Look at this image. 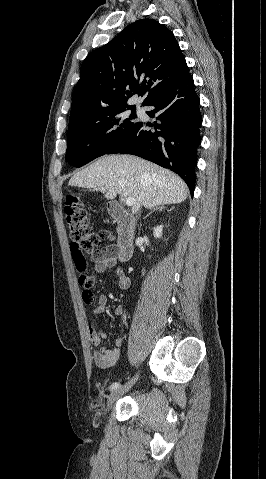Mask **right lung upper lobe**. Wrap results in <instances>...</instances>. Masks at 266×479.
<instances>
[{
	"instance_id": "1",
	"label": "right lung upper lobe",
	"mask_w": 266,
	"mask_h": 479,
	"mask_svg": "<svg viewBox=\"0 0 266 479\" xmlns=\"http://www.w3.org/2000/svg\"><path fill=\"white\" fill-rule=\"evenodd\" d=\"M189 74L173 35L154 19H140L83 61L69 121L128 106L134 94L142 105L156 91Z\"/></svg>"
}]
</instances>
